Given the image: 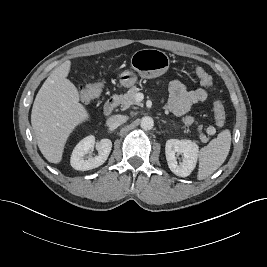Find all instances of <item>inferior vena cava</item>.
Wrapping results in <instances>:
<instances>
[{
	"label": "inferior vena cava",
	"mask_w": 267,
	"mask_h": 267,
	"mask_svg": "<svg viewBox=\"0 0 267 267\" xmlns=\"http://www.w3.org/2000/svg\"><path fill=\"white\" fill-rule=\"evenodd\" d=\"M127 121V117L123 115H113L109 117L106 121V124L109 128L115 129L121 124L125 123Z\"/></svg>",
	"instance_id": "602c4592"
}]
</instances>
